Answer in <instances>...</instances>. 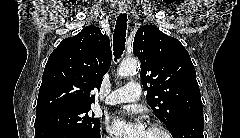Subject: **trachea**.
Wrapping results in <instances>:
<instances>
[{"label":"trachea","instance_id":"3493384b","mask_svg":"<svg viewBox=\"0 0 240 138\" xmlns=\"http://www.w3.org/2000/svg\"><path fill=\"white\" fill-rule=\"evenodd\" d=\"M127 30V15L121 13L117 17L114 34H113V50L115 61L121 57L125 48Z\"/></svg>","mask_w":240,"mask_h":138}]
</instances>
